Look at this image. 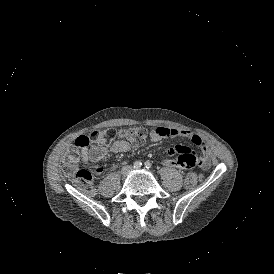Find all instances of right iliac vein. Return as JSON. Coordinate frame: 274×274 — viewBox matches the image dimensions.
<instances>
[{
    "mask_svg": "<svg viewBox=\"0 0 274 274\" xmlns=\"http://www.w3.org/2000/svg\"><path fill=\"white\" fill-rule=\"evenodd\" d=\"M130 170H131V167L126 166V167H124V168L122 169L121 173H122L123 175H126V174H128V173L130 172Z\"/></svg>",
    "mask_w": 274,
    "mask_h": 274,
    "instance_id": "63e3f726",
    "label": "right iliac vein"
}]
</instances>
